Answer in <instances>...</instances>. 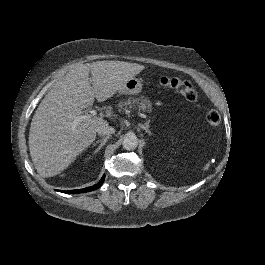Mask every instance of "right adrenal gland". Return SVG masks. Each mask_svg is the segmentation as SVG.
I'll list each match as a JSON object with an SVG mask.
<instances>
[{
	"label": "right adrenal gland",
	"mask_w": 265,
	"mask_h": 265,
	"mask_svg": "<svg viewBox=\"0 0 265 265\" xmlns=\"http://www.w3.org/2000/svg\"><path fill=\"white\" fill-rule=\"evenodd\" d=\"M109 139V135L100 137L96 142L93 143V145H97L100 141H102V143L99 145V147L95 150V153L99 152L101 148H103V146L106 144V142Z\"/></svg>",
	"instance_id": "1"
}]
</instances>
